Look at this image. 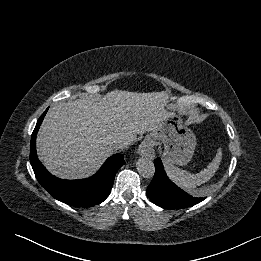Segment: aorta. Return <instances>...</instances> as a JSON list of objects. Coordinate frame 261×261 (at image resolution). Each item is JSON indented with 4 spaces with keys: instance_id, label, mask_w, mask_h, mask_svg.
<instances>
[{
    "instance_id": "obj_1",
    "label": "aorta",
    "mask_w": 261,
    "mask_h": 261,
    "mask_svg": "<svg viewBox=\"0 0 261 261\" xmlns=\"http://www.w3.org/2000/svg\"><path fill=\"white\" fill-rule=\"evenodd\" d=\"M138 173L144 178H152L155 173V166L152 160L146 157H141L136 162Z\"/></svg>"
}]
</instances>
